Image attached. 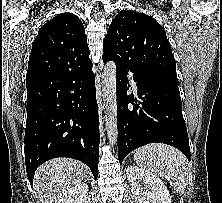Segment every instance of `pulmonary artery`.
I'll list each match as a JSON object with an SVG mask.
<instances>
[{
  "label": "pulmonary artery",
  "instance_id": "1",
  "mask_svg": "<svg viewBox=\"0 0 222 203\" xmlns=\"http://www.w3.org/2000/svg\"><path fill=\"white\" fill-rule=\"evenodd\" d=\"M130 76L132 77V83H133V86L136 87V82L133 80V75L130 74Z\"/></svg>",
  "mask_w": 222,
  "mask_h": 203
}]
</instances>
